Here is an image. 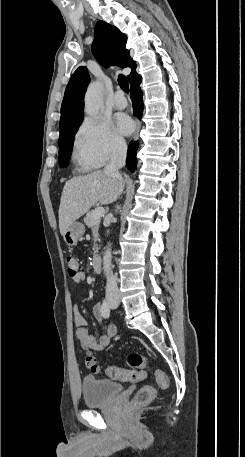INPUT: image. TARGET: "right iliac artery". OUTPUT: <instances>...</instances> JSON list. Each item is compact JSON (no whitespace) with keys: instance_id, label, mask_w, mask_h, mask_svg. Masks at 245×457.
Returning a JSON list of instances; mask_svg holds the SVG:
<instances>
[{"instance_id":"1","label":"right iliac artery","mask_w":245,"mask_h":457,"mask_svg":"<svg viewBox=\"0 0 245 457\" xmlns=\"http://www.w3.org/2000/svg\"><path fill=\"white\" fill-rule=\"evenodd\" d=\"M101 314L104 318H108L110 316V305L106 299L103 300L101 306Z\"/></svg>"}]
</instances>
